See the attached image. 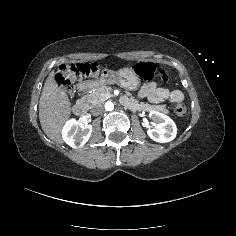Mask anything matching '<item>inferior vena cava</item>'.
<instances>
[{
	"label": "inferior vena cava",
	"instance_id": "obj_1",
	"mask_svg": "<svg viewBox=\"0 0 236 236\" xmlns=\"http://www.w3.org/2000/svg\"><path fill=\"white\" fill-rule=\"evenodd\" d=\"M92 115H99L100 113L103 112V106L102 104H95L91 107L90 110Z\"/></svg>",
	"mask_w": 236,
	"mask_h": 236
}]
</instances>
